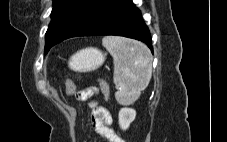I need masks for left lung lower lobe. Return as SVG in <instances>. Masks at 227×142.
<instances>
[{
  "label": "left lung lower lobe",
  "mask_w": 227,
  "mask_h": 142,
  "mask_svg": "<svg viewBox=\"0 0 227 142\" xmlns=\"http://www.w3.org/2000/svg\"><path fill=\"white\" fill-rule=\"evenodd\" d=\"M118 35L145 42L153 52L150 32L132 0H110L71 37Z\"/></svg>",
  "instance_id": "0a47b994"
}]
</instances>
